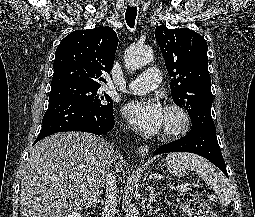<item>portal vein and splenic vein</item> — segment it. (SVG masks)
Wrapping results in <instances>:
<instances>
[{
    "label": "portal vein and splenic vein",
    "instance_id": "1",
    "mask_svg": "<svg viewBox=\"0 0 255 217\" xmlns=\"http://www.w3.org/2000/svg\"><path fill=\"white\" fill-rule=\"evenodd\" d=\"M176 189L180 192H187L190 190L186 185L177 186Z\"/></svg>",
    "mask_w": 255,
    "mask_h": 217
}]
</instances>
